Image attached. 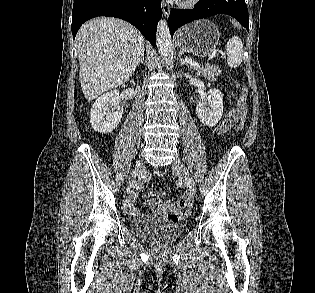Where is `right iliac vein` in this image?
Returning <instances> with one entry per match:
<instances>
[{"mask_svg": "<svg viewBox=\"0 0 315 293\" xmlns=\"http://www.w3.org/2000/svg\"><path fill=\"white\" fill-rule=\"evenodd\" d=\"M143 169V162L141 160L137 161L134 170L132 171V179L130 182V186H129V194L132 193V191L134 190L135 186H136V179L138 177V175L141 173Z\"/></svg>", "mask_w": 315, "mask_h": 293, "instance_id": "right-iliac-vein-1", "label": "right iliac vein"}]
</instances>
